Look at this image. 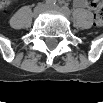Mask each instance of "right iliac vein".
Listing matches in <instances>:
<instances>
[{
	"label": "right iliac vein",
	"instance_id": "right-iliac-vein-1",
	"mask_svg": "<svg viewBox=\"0 0 103 103\" xmlns=\"http://www.w3.org/2000/svg\"><path fill=\"white\" fill-rule=\"evenodd\" d=\"M45 9H46V6L44 4H39L38 6L34 8L33 16L34 17L39 16Z\"/></svg>",
	"mask_w": 103,
	"mask_h": 103
}]
</instances>
